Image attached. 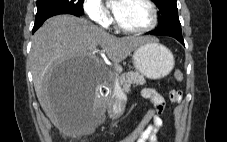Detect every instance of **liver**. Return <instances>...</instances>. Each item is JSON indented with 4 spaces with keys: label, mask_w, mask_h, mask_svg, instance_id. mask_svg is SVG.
<instances>
[{
    "label": "liver",
    "mask_w": 227,
    "mask_h": 142,
    "mask_svg": "<svg viewBox=\"0 0 227 142\" xmlns=\"http://www.w3.org/2000/svg\"><path fill=\"white\" fill-rule=\"evenodd\" d=\"M152 37L127 36L118 38L84 18L56 15L44 22L32 37L30 62L33 83L39 103L51 122L63 133L80 134L86 119L94 115L100 103L96 90L104 81L96 71L95 55L100 46L115 64L120 63L141 44ZM58 61H93L87 88H52L49 76Z\"/></svg>",
    "instance_id": "liver-1"
}]
</instances>
